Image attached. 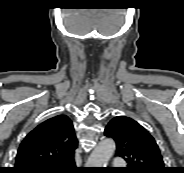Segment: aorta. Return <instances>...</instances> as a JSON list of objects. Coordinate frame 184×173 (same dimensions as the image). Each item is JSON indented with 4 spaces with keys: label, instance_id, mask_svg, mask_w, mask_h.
<instances>
[{
    "label": "aorta",
    "instance_id": "762f6f07",
    "mask_svg": "<svg viewBox=\"0 0 184 173\" xmlns=\"http://www.w3.org/2000/svg\"><path fill=\"white\" fill-rule=\"evenodd\" d=\"M115 149L113 139L106 138L100 141L87 160L88 167H106Z\"/></svg>",
    "mask_w": 184,
    "mask_h": 173
}]
</instances>
